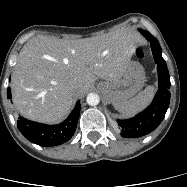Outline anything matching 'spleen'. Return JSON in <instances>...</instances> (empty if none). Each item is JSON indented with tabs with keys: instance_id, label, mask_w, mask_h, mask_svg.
I'll use <instances>...</instances> for the list:
<instances>
[{
	"instance_id": "1",
	"label": "spleen",
	"mask_w": 187,
	"mask_h": 187,
	"mask_svg": "<svg viewBox=\"0 0 187 187\" xmlns=\"http://www.w3.org/2000/svg\"><path fill=\"white\" fill-rule=\"evenodd\" d=\"M155 88L147 86L145 90L140 92L134 98L114 104V108L123 115L132 116L144 109L153 99Z\"/></svg>"
}]
</instances>
